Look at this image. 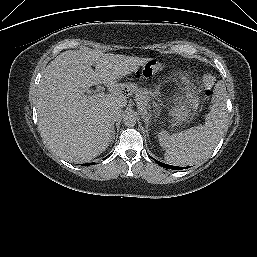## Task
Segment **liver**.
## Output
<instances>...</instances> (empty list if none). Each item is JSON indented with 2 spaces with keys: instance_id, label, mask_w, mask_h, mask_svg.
I'll return each instance as SVG.
<instances>
[{
  "instance_id": "1",
  "label": "liver",
  "mask_w": 257,
  "mask_h": 257,
  "mask_svg": "<svg viewBox=\"0 0 257 257\" xmlns=\"http://www.w3.org/2000/svg\"><path fill=\"white\" fill-rule=\"evenodd\" d=\"M149 61L148 58L102 53L91 49L59 54L43 72L36 109L41 136L50 149L68 162L90 161L109 146L112 125L107 114L126 106L118 80ZM95 64V71L92 65ZM104 84L111 93L97 100L83 88Z\"/></svg>"
}]
</instances>
